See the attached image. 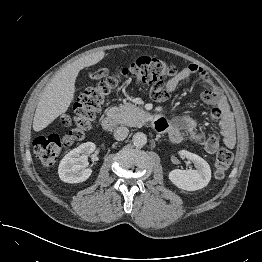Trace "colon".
<instances>
[{"instance_id":"colon-1","label":"colon","mask_w":262,"mask_h":262,"mask_svg":"<svg viewBox=\"0 0 262 262\" xmlns=\"http://www.w3.org/2000/svg\"><path fill=\"white\" fill-rule=\"evenodd\" d=\"M175 74V66L155 57L138 58L117 74H113L108 68L93 72L91 77L95 82L79 95L73 115L66 114L61 118V127L65 133L39 136L34 140V149L41 163L45 167L53 166L64 147L81 139L91 129L106 97L121 79L129 78L139 84L150 85L152 98L160 100L166 96V83ZM232 160V153L226 149L217 153L214 164L216 178L224 177Z\"/></svg>"}]
</instances>
